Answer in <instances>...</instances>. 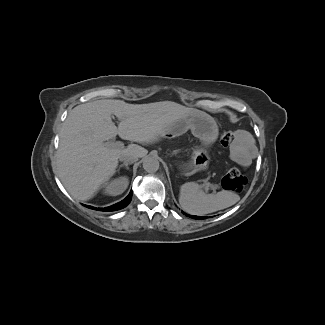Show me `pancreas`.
<instances>
[{
	"instance_id": "pancreas-1",
	"label": "pancreas",
	"mask_w": 325,
	"mask_h": 325,
	"mask_svg": "<svg viewBox=\"0 0 325 325\" xmlns=\"http://www.w3.org/2000/svg\"><path fill=\"white\" fill-rule=\"evenodd\" d=\"M173 143H174V145H176V146L179 145L180 148L183 149V150H185V151L188 150V148H189L188 145H186V143H184V142L181 143L180 140H178V139L174 140ZM187 153H188V155L191 156V155H193L194 152H193V150L190 149V150H188Z\"/></svg>"
}]
</instances>
